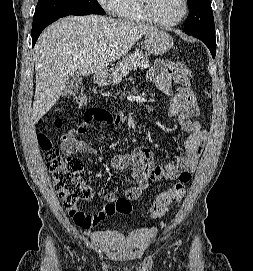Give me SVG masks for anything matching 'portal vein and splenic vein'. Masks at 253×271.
<instances>
[{
    "instance_id": "portal-vein-and-splenic-vein-1",
    "label": "portal vein and splenic vein",
    "mask_w": 253,
    "mask_h": 271,
    "mask_svg": "<svg viewBox=\"0 0 253 271\" xmlns=\"http://www.w3.org/2000/svg\"><path fill=\"white\" fill-rule=\"evenodd\" d=\"M105 50L103 48L99 49L98 52L102 53L104 52Z\"/></svg>"
}]
</instances>
